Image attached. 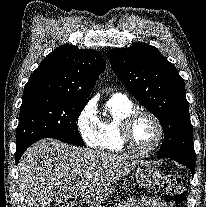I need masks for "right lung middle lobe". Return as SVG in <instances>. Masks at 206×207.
I'll use <instances>...</instances> for the list:
<instances>
[{
	"label": "right lung middle lobe",
	"mask_w": 206,
	"mask_h": 207,
	"mask_svg": "<svg viewBox=\"0 0 206 207\" xmlns=\"http://www.w3.org/2000/svg\"><path fill=\"white\" fill-rule=\"evenodd\" d=\"M87 103L43 96L23 101L17 127L16 150L43 138L83 146L76 121Z\"/></svg>",
	"instance_id": "dd1d6c3e"
}]
</instances>
